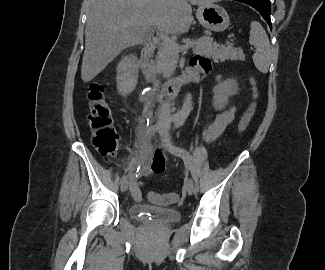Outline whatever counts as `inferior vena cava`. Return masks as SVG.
<instances>
[{
	"label": "inferior vena cava",
	"mask_w": 325,
	"mask_h": 270,
	"mask_svg": "<svg viewBox=\"0 0 325 270\" xmlns=\"http://www.w3.org/2000/svg\"><path fill=\"white\" fill-rule=\"evenodd\" d=\"M170 112H171L170 104L168 102L164 103L161 106V109L159 112V119L166 120L170 116Z\"/></svg>",
	"instance_id": "602c4592"
}]
</instances>
